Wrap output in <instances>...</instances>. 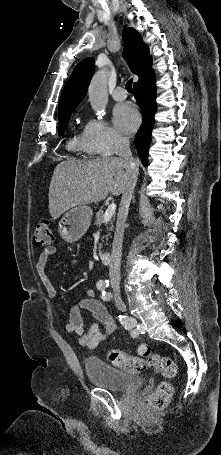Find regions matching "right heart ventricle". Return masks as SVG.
<instances>
[{"label": "right heart ventricle", "instance_id": "e07e8e85", "mask_svg": "<svg viewBox=\"0 0 221 455\" xmlns=\"http://www.w3.org/2000/svg\"><path fill=\"white\" fill-rule=\"evenodd\" d=\"M67 148L73 152H85L82 135H74L67 142Z\"/></svg>", "mask_w": 221, "mask_h": 455}]
</instances>
